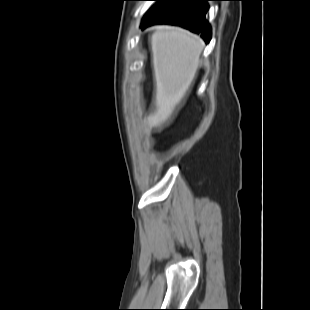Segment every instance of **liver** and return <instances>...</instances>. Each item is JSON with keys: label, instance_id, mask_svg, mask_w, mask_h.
<instances>
[{"label": "liver", "instance_id": "liver-1", "mask_svg": "<svg viewBox=\"0 0 310 310\" xmlns=\"http://www.w3.org/2000/svg\"><path fill=\"white\" fill-rule=\"evenodd\" d=\"M150 38L155 80L154 107L147 116V131L161 130L185 100L196 77L203 41L191 32L156 26Z\"/></svg>", "mask_w": 310, "mask_h": 310}]
</instances>
